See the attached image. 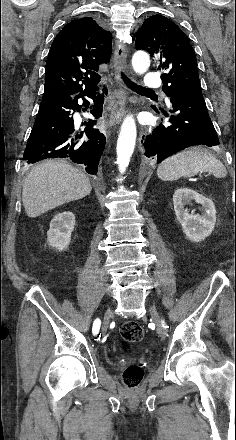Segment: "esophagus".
<instances>
[{
  "label": "esophagus",
  "mask_w": 236,
  "mask_h": 440,
  "mask_svg": "<svg viewBox=\"0 0 236 440\" xmlns=\"http://www.w3.org/2000/svg\"><path fill=\"white\" fill-rule=\"evenodd\" d=\"M126 59H127V46L124 42L119 40L116 43V48L114 51V65L116 70L115 79L118 85L117 100L111 110L110 121H109L110 126H115L116 124H118L125 114L128 90L123 85L119 73L121 69L127 70Z\"/></svg>",
  "instance_id": "obj_1"
}]
</instances>
